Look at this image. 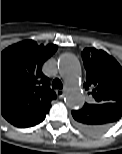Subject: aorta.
Wrapping results in <instances>:
<instances>
[{"label":"aorta","instance_id":"obj_1","mask_svg":"<svg viewBox=\"0 0 122 154\" xmlns=\"http://www.w3.org/2000/svg\"><path fill=\"white\" fill-rule=\"evenodd\" d=\"M58 70L64 79L67 90L65 102L70 108H80L84 104V94L80 85L81 68L76 57L66 54L60 57Z\"/></svg>","mask_w":122,"mask_h":154}]
</instances>
